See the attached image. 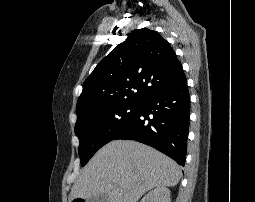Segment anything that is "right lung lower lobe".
I'll use <instances>...</instances> for the list:
<instances>
[{
	"label": "right lung lower lobe",
	"mask_w": 255,
	"mask_h": 202,
	"mask_svg": "<svg viewBox=\"0 0 255 202\" xmlns=\"http://www.w3.org/2000/svg\"><path fill=\"white\" fill-rule=\"evenodd\" d=\"M189 117L190 97L184 81L145 99L132 121L113 140L150 145L184 166Z\"/></svg>",
	"instance_id": "98d812e1"
}]
</instances>
